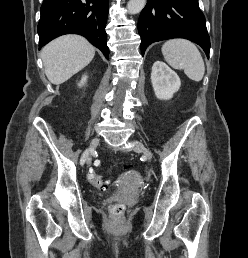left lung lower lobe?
<instances>
[{
    "mask_svg": "<svg viewBox=\"0 0 248 258\" xmlns=\"http://www.w3.org/2000/svg\"><path fill=\"white\" fill-rule=\"evenodd\" d=\"M138 31L142 55L153 42L185 38L200 45L209 57L210 38L198 0H147Z\"/></svg>",
    "mask_w": 248,
    "mask_h": 258,
    "instance_id": "obj_1",
    "label": "left lung lower lobe"
}]
</instances>
